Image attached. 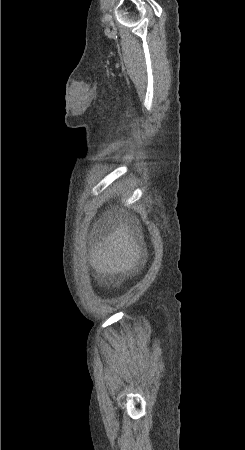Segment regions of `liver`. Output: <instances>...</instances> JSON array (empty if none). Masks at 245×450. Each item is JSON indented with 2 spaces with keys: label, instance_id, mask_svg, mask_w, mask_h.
Returning <instances> with one entry per match:
<instances>
[{
  "label": "liver",
  "instance_id": "liver-1",
  "mask_svg": "<svg viewBox=\"0 0 245 450\" xmlns=\"http://www.w3.org/2000/svg\"><path fill=\"white\" fill-rule=\"evenodd\" d=\"M89 254L96 272L116 274L134 269L141 252L130 226L121 223Z\"/></svg>",
  "mask_w": 245,
  "mask_h": 450
}]
</instances>
